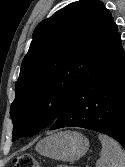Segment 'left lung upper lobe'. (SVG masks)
Listing matches in <instances>:
<instances>
[{
	"label": "left lung upper lobe",
	"mask_w": 125,
	"mask_h": 167,
	"mask_svg": "<svg viewBox=\"0 0 125 167\" xmlns=\"http://www.w3.org/2000/svg\"><path fill=\"white\" fill-rule=\"evenodd\" d=\"M112 23L103 2L80 0L37 25L10 108L13 141L55 122L88 74Z\"/></svg>",
	"instance_id": "1"
}]
</instances>
